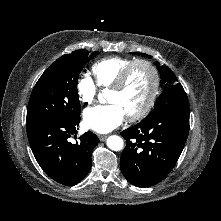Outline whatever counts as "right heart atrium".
I'll return each instance as SVG.
<instances>
[{
    "instance_id": "obj_1",
    "label": "right heart atrium",
    "mask_w": 221,
    "mask_h": 221,
    "mask_svg": "<svg viewBox=\"0 0 221 221\" xmlns=\"http://www.w3.org/2000/svg\"><path fill=\"white\" fill-rule=\"evenodd\" d=\"M79 100L84 104H91L97 98V87L93 80L88 76H81L76 84Z\"/></svg>"
}]
</instances>
